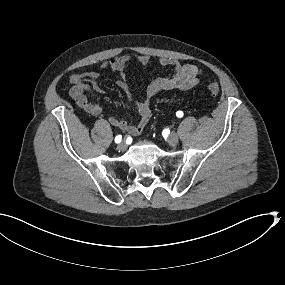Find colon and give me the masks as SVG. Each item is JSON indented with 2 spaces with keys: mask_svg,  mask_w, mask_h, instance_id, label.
<instances>
[{
  "mask_svg": "<svg viewBox=\"0 0 285 285\" xmlns=\"http://www.w3.org/2000/svg\"><path fill=\"white\" fill-rule=\"evenodd\" d=\"M207 88L209 90V92L213 95V96H216L219 94L220 92V87L217 83L215 82H209L207 84Z\"/></svg>",
  "mask_w": 285,
  "mask_h": 285,
  "instance_id": "1",
  "label": "colon"
}]
</instances>
